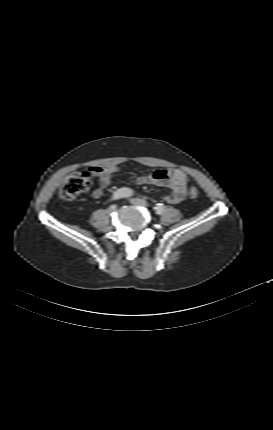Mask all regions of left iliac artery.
<instances>
[{"label": "left iliac artery", "instance_id": "obj_1", "mask_svg": "<svg viewBox=\"0 0 273 430\" xmlns=\"http://www.w3.org/2000/svg\"><path fill=\"white\" fill-rule=\"evenodd\" d=\"M154 209L156 211V214L161 215L165 210V206L161 203H158Z\"/></svg>", "mask_w": 273, "mask_h": 430}]
</instances>
